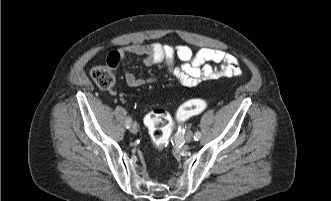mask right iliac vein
Instances as JSON below:
<instances>
[{
  "label": "right iliac vein",
  "mask_w": 331,
  "mask_h": 201,
  "mask_svg": "<svg viewBox=\"0 0 331 201\" xmlns=\"http://www.w3.org/2000/svg\"><path fill=\"white\" fill-rule=\"evenodd\" d=\"M138 125L134 122V123H132L131 124V126H130V131L132 132V133H137L138 132Z\"/></svg>",
  "instance_id": "1"
}]
</instances>
